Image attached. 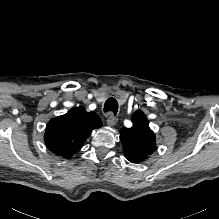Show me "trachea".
Returning a JSON list of instances; mask_svg holds the SVG:
<instances>
[{
    "label": "trachea",
    "instance_id": "3493384b",
    "mask_svg": "<svg viewBox=\"0 0 219 219\" xmlns=\"http://www.w3.org/2000/svg\"><path fill=\"white\" fill-rule=\"evenodd\" d=\"M104 111L105 112H111L114 115L117 114L118 111V102L115 98L110 97L106 100L105 105H104Z\"/></svg>",
    "mask_w": 219,
    "mask_h": 219
}]
</instances>
